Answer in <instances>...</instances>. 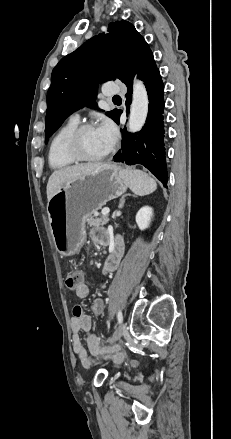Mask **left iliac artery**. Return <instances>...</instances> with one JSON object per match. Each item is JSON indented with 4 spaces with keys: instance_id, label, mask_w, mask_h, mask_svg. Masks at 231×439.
Masks as SVG:
<instances>
[{
    "instance_id": "left-iliac-artery-1",
    "label": "left iliac artery",
    "mask_w": 231,
    "mask_h": 439,
    "mask_svg": "<svg viewBox=\"0 0 231 439\" xmlns=\"http://www.w3.org/2000/svg\"><path fill=\"white\" fill-rule=\"evenodd\" d=\"M117 319H118V323H119V324H120V323L122 322V320H123V316H122V312H121V310L118 311Z\"/></svg>"
}]
</instances>
